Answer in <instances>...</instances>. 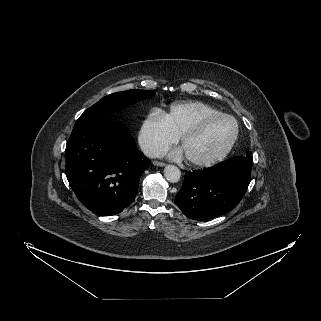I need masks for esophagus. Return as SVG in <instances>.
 I'll return each instance as SVG.
<instances>
[{"instance_id":"esophagus-1","label":"esophagus","mask_w":321,"mask_h":321,"mask_svg":"<svg viewBox=\"0 0 321 321\" xmlns=\"http://www.w3.org/2000/svg\"><path fill=\"white\" fill-rule=\"evenodd\" d=\"M153 164L156 165V166H160V167H163V166L166 165L165 163L159 162V161H154Z\"/></svg>"}]
</instances>
